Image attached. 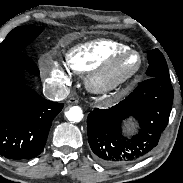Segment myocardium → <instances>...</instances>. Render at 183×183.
I'll list each match as a JSON object with an SVG mask.
<instances>
[{
    "label": "myocardium",
    "mask_w": 183,
    "mask_h": 183,
    "mask_svg": "<svg viewBox=\"0 0 183 183\" xmlns=\"http://www.w3.org/2000/svg\"><path fill=\"white\" fill-rule=\"evenodd\" d=\"M133 54L139 59L138 66L124 77H116L115 69L118 62L126 55ZM143 56L134 49L126 48L113 53L101 66L91 71L85 80L87 89L97 95H109L130 84L143 68Z\"/></svg>",
    "instance_id": "myocardium-1"
}]
</instances>
